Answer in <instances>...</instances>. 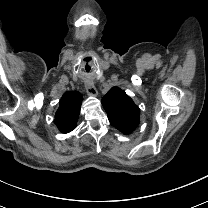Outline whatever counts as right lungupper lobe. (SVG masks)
<instances>
[{"mask_svg": "<svg viewBox=\"0 0 208 208\" xmlns=\"http://www.w3.org/2000/svg\"><path fill=\"white\" fill-rule=\"evenodd\" d=\"M82 99L77 91H68L62 96L55 114V123L62 133H68L76 127Z\"/></svg>", "mask_w": 208, "mask_h": 208, "instance_id": "1", "label": "right lung upper lobe"}]
</instances>
